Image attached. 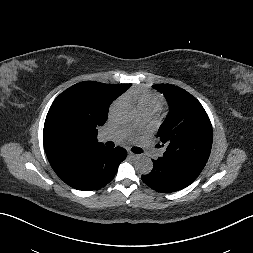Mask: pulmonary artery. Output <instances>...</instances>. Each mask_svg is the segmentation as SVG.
I'll return each mask as SVG.
<instances>
[{"label":"pulmonary artery","instance_id":"e3ab8cb5","mask_svg":"<svg viewBox=\"0 0 253 253\" xmlns=\"http://www.w3.org/2000/svg\"><path fill=\"white\" fill-rule=\"evenodd\" d=\"M154 112L152 111H140L139 112V119L142 122H147L151 119ZM124 137V134L119 133L116 135L110 134V133H103L99 136V140L102 142L106 141H120Z\"/></svg>","mask_w":253,"mask_h":253}]
</instances>
